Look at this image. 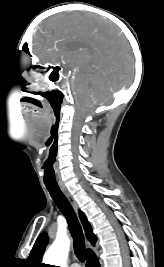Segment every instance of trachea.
Segmentation results:
<instances>
[{
	"mask_svg": "<svg viewBox=\"0 0 164 267\" xmlns=\"http://www.w3.org/2000/svg\"><path fill=\"white\" fill-rule=\"evenodd\" d=\"M56 206L65 216L71 235L73 237V247L77 258L80 261L85 260V243L84 236L78 221V218L63 192L59 187L46 186Z\"/></svg>",
	"mask_w": 164,
	"mask_h": 267,
	"instance_id": "1",
	"label": "trachea"
}]
</instances>
